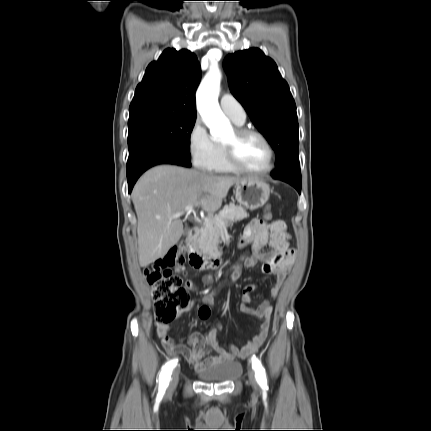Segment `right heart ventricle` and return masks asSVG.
<instances>
[{"instance_id": "right-heart-ventricle-1", "label": "right heart ventricle", "mask_w": 431, "mask_h": 431, "mask_svg": "<svg viewBox=\"0 0 431 431\" xmlns=\"http://www.w3.org/2000/svg\"><path fill=\"white\" fill-rule=\"evenodd\" d=\"M235 124L242 125V124H238L236 122H235ZM212 171H214L216 173H232L235 171L229 165V163L227 161L225 148H224L223 143H219V155H218V158L216 160V163H215Z\"/></svg>"}]
</instances>
